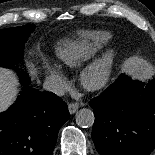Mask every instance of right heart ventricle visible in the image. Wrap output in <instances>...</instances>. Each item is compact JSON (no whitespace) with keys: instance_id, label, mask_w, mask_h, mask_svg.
<instances>
[{"instance_id":"e07e8e85","label":"right heart ventricle","mask_w":155,"mask_h":155,"mask_svg":"<svg viewBox=\"0 0 155 155\" xmlns=\"http://www.w3.org/2000/svg\"><path fill=\"white\" fill-rule=\"evenodd\" d=\"M112 35L107 31H85L58 43L56 56L59 63L74 68L87 61L102 49Z\"/></svg>"}]
</instances>
